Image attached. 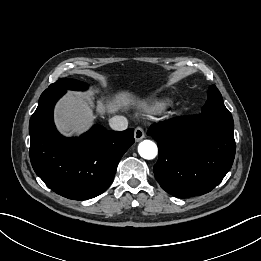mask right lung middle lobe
Here are the masks:
<instances>
[{
  "label": "right lung middle lobe",
  "mask_w": 261,
  "mask_h": 261,
  "mask_svg": "<svg viewBox=\"0 0 261 261\" xmlns=\"http://www.w3.org/2000/svg\"><path fill=\"white\" fill-rule=\"evenodd\" d=\"M87 84L75 79H59L55 83L51 84L48 89L51 90H85Z\"/></svg>",
  "instance_id": "obj_1"
}]
</instances>
